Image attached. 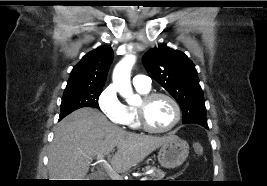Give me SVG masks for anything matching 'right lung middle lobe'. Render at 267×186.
<instances>
[{"instance_id":"obj_1","label":"right lung middle lobe","mask_w":267,"mask_h":186,"mask_svg":"<svg viewBox=\"0 0 267 186\" xmlns=\"http://www.w3.org/2000/svg\"><path fill=\"white\" fill-rule=\"evenodd\" d=\"M102 90V88L65 89L61 102L60 117H65L82 107L99 108L98 99Z\"/></svg>"}]
</instances>
